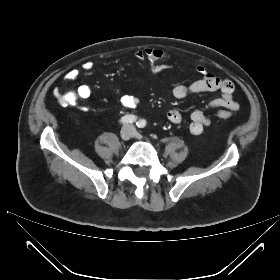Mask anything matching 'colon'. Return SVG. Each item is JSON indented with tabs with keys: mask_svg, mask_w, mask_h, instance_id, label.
Wrapping results in <instances>:
<instances>
[{
	"mask_svg": "<svg viewBox=\"0 0 280 280\" xmlns=\"http://www.w3.org/2000/svg\"><path fill=\"white\" fill-rule=\"evenodd\" d=\"M56 97L59 103H61L62 105H70L74 103V101L77 98L75 92L72 90H67L63 93L56 94ZM218 117L222 119H227L229 118V115L227 113L222 112L218 114Z\"/></svg>",
	"mask_w": 280,
	"mask_h": 280,
	"instance_id": "obj_1",
	"label": "colon"
}]
</instances>
